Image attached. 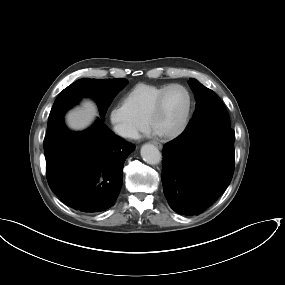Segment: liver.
Segmentation results:
<instances>
[{"mask_svg":"<svg viewBox=\"0 0 285 285\" xmlns=\"http://www.w3.org/2000/svg\"><path fill=\"white\" fill-rule=\"evenodd\" d=\"M96 115V106L91 101H86L81 107L67 114L66 122L73 130H83L91 124Z\"/></svg>","mask_w":285,"mask_h":285,"instance_id":"6515ba94","label":"liver"}]
</instances>
